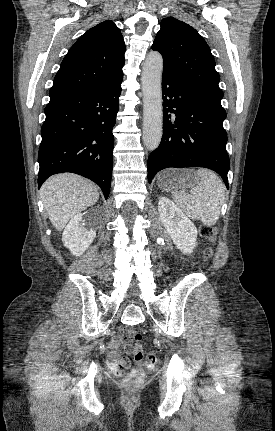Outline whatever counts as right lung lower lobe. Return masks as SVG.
I'll return each mask as SVG.
<instances>
[{"label":"right lung lower lobe","instance_id":"obj_1","mask_svg":"<svg viewBox=\"0 0 275 431\" xmlns=\"http://www.w3.org/2000/svg\"><path fill=\"white\" fill-rule=\"evenodd\" d=\"M122 79L108 87L51 98L39 148L38 187L51 175L73 172L109 196Z\"/></svg>","mask_w":275,"mask_h":431}]
</instances>
